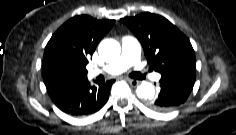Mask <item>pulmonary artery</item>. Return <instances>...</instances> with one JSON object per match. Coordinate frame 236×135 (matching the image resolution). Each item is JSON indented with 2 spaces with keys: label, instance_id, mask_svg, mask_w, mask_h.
<instances>
[{
  "label": "pulmonary artery",
  "instance_id": "e3ab8cb5",
  "mask_svg": "<svg viewBox=\"0 0 236 135\" xmlns=\"http://www.w3.org/2000/svg\"><path fill=\"white\" fill-rule=\"evenodd\" d=\"M122 41V54L115 62L103 69H94L90 72L92 76L100 72L117 75L127 70L132 65H136L140 72H144V68L140 66V46L138 40L133 36H124ZM161 74H154V79L159 80Z\"/></svg>",
  "mask_w": 236,
  "mask_h": 135
}]
</instances>
